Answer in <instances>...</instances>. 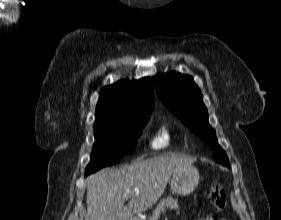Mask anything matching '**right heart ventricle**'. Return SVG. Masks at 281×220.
<instances>
[{
    "instance_id": "1",
    "label": "right heart ventricle",
    "mask_w": 281,
    "mask_h": 220,
    "mask_svg": "<svg viewBox=\"0 0 281 220\" xmlns=\"http://www.w3.org/2000/svg\"><path fill=\"white\" fill-rule=\"evenodd\" d=\"M173 142L174 135L171 129L166 124H162L152 137L150 145L155 150H162L170 147Z\"/></svg>"
}]
</instances>
